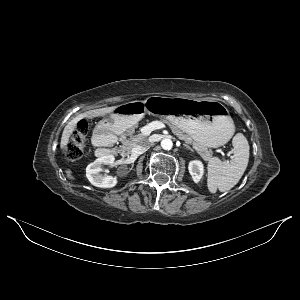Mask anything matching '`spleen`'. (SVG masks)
I'll list each match as a JSON object with an SVG mask.
<instances>
[{
    "mask_svg": "<svg viewBox=\"0 0 300 300\" xmlns=\"http://www.w3.org/2000/svg\"><path fill=\"white\" fill-rule=\"evenodd\" d=\"M234 154L231 162L217 157L209 160L207 187L211 193L217 190L225 192L233 188L244 174L249 161V144L242 133H237L232 140Z\"/></svg>",
    "mask_w": 300,
    "mask_h": 300,
    "instance_id": "spleen-1",
    "label": "spleen"
}]
</instances>
